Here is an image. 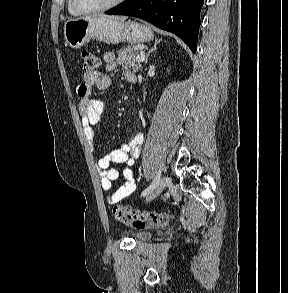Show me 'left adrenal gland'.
I'll list each match as a JSON object with an SVG mask.
<instances>
[{
  "instance_id": "obj_1",
  "label": "left adrenal gland",
  "mask_w": 288,
  "mask_h": 293,
  "mask_svg": "<svg viewBox=\"0 0 288 293\" xmlns=\"http://www.w3.org/2000/svg\"><path fill=\"white\" fill-rule=\"evenodd\" d=\"M160 41H161V39H155V44H154L153 48L150 49L146 55L145 64H147V62H148V58H149L150 53L157 49V45L160 43Z\"/></svg>"
}]
</instances>
